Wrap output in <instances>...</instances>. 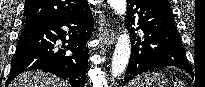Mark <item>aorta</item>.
<instances>
[{
    "label": "aorta",
    "mask_w": 205,
    "mask_h": 87,
    "mask_svg": "<svg viewBox=\"0 0 205 87\" xmlns=\"http://www.w3.org/2000/svg\"><path fill=\"white\" fill-rule=\"evenodd\" d=\"M111 8L120 16H124L126 12V0H108ZM131 53V44L129 35L123 33L119 35L111 66V74L113 78L119 77L126 69Z\"/></svg>",
    "instance_id": "obj_1"
}]
</instances>
